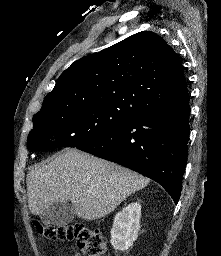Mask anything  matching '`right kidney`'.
Wrapping results in <instances>:
<instances>
[{
  "label": "right kidney",
  "instance_id": "right-kidney-1",
  "mask_svg": "<svg viewBox=\"0 0 221 256\" xmlns=\"http://www.w3.org/2000/svg\"><path fill=\"white\" fill-rule=\"evenodd\" d=\"M141 205L129 204L117 213L111 229V245L115 250L126 251L133 246L140 230Z\"/></svg>",
  "mask_w": 221,
  "mask_h": 256
}]
</instances>
